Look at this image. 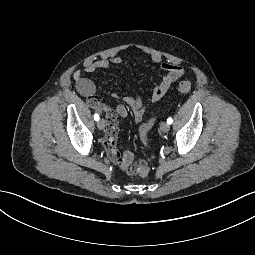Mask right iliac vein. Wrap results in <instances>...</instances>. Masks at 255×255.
<instances>
[{
  "label": "right iliac vein",
  "instance_id": "obj_1",
  "mask_svg": "<svg viewBox=\"0 0 255 255\" xmlns=\"http://www.w3.org/2000/svg\"><path fill=\"white\" fill-rule=\"evenodd\" d=\"M106 126V122L104 119H100L98 122H97V127L100 129V130H103Z\"/></svg>",
  "mask_w": 255,
  "mask_h": 255
}]
</instances>
